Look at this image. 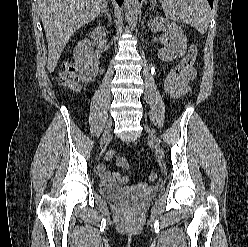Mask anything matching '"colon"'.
I'll return each instance as SVG.
<instances>
[{
  "mask_svg": "<svg viewBox=\"0 0 248 247\" xmlns=\"http://www.w3.org/2000/svg\"><path fill=\"white\" fill-rule=\"evenodd\" d=\"M196 57L197 48L195 45H192L189 48L185 58L165 78V81L163 83V91L166 96L171 98L176 97L181 85L182 78L186 74V72L193 67ZM60 83L61 85L72 90H79V78L75 65L72 62L65 63L63 72L61 74ZM106 159H115L116 165L118 167L125 170L129 169L127 161L123 157L116 155L114 151H109L106 154ZM149 177L151 180H155L157 178V174L155 172H152Z\"/></svg>",
  "mask_w": 248,
  "mask_h": 247,
  "instance_id": "colon-1",
  "label": "colon"
}]
</instances>
